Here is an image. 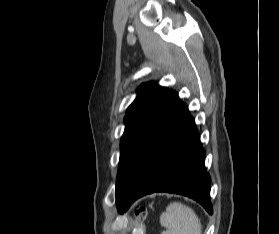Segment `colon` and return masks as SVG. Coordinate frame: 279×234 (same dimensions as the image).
Returning <instances> with one entry per match:
<instances>
[{
  "label": "colon",
  "instance_id": "5ec220e1",
  "mask_svg": "<svg viewBox=\"0 0 279 234\" xmlns=\"http://www.w3.org/2000/svg\"><path fill=\"white\" fill-rule=\"evenodd\" d=\"M135 210H136L137 214H139V215L144 214L146 211V209L141 205H137Z\"/></svg>",
  "mask_w": 279,
  "mask_h": 234
}]
</instances>
